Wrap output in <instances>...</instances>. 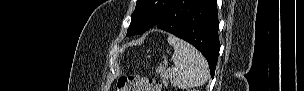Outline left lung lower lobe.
Instances as JSON below:
<instances>
[{
    "instance_id": "1",
    "label": "left lung lower lobe",
    "mask_w": 304,
    "mask_h": 91,
    "mask_svg": "<svg viewBox=\"0 0 304 91\" xmlns=\"http://www.w3.org/2000/svg\"><path fill=\"white\" fill-rule=\"evenodd\" d=\"M155 26L195 46L207 59L214 77L220 50L215 0H174Z\"/></svg>"
}]
</instances>
